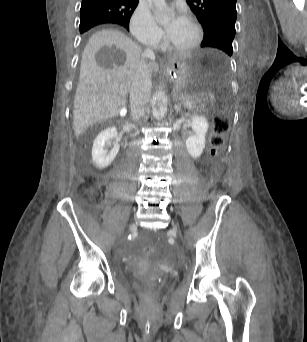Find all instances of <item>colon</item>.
Segmentation results:
<instances>
[{
  "label": "colon",
  "mask_w": 307,
  "mask_h": 342,
  "mask_svg": "<svg viewBox=\"0 0 307 342\" xmlns=\"http://www.w3.org/2000/svg\"><path fill=\"white\" fill-rule=\"evenodd\" d=\"M229 129V123L226 118L217 116L214 120L213 129L210 133V149L209 154L212 158H217L220 155L221 147L224 143L223 136ZM142 252L155 257L158 252L157 246H143Z\"/></svg>",
  "instance_id": "5ec220e1"
}]
</instances>
